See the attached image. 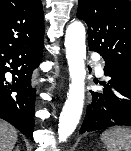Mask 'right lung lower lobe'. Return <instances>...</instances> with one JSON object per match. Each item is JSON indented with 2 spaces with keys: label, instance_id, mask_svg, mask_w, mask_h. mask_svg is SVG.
<instances>
[{
  "label": "right lung lower lobe",
  "instance_id": "right-lung-lower-lobe-1",
  "mask_svg": "<svg viewBox=\"0 0 131 151\" xmlns=\"http://www.w3.org/2000/svg\"><path fill=\"white\" fill-rule=\"evenodd\" d=\"M43 42L19 47L0 46V118L32 139L36 92L31 76L42 58ZM14 77L6 85L5 73ZM15 75L17 77H15Z\"/></svg>",
  "mask_w": 131,
  "mask_h": 151
}]
</instances>
